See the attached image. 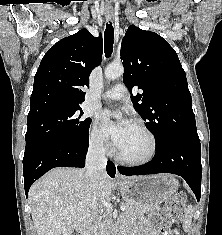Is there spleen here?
I'll return each instance as SVG.
<instances>
[{"label":"spleen","mask_w":222,"mask_h":235,"mask_svg":"<svg viewBox=\"0 0 222 235\" xmlns=\"http://www.w3.org/2000/svg\"><path fill=\"white\" fill-rule=\"evenodd\" d=\"M192 207L191 206H188V208L186 209L185 211V218L183 220V229L185 231H188L190 226H191V222H192V216H193V213H192Z\"/></svg>","instance_id":"spleen-1"}]
</instances>
